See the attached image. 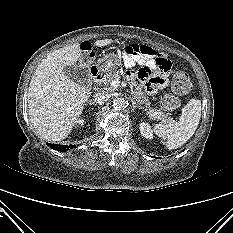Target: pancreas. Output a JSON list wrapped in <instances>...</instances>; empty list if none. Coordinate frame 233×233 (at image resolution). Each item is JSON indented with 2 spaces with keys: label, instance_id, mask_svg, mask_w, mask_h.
<instances>
[{
  "label": "pancreas",
  "instance_id": "1",
  "mask_svg": "<svg viewBox=\"0 0 233 233\" xmlns=\"http://www.w3.org/2000/svg\"><path fill=\"white\" fill-rule=\"evenodd\" d=\"M120 77V73L112 72L109 73L104 79L103 83L105 84H111L112 80L117 79ZM132 94L134 98L136 99L137 103L141 106H144L146 110H148L149 117L154 120H160L162 122H168L171 120L169 116H167L165 113L159 110H154L153 108H150V102L146 98L145 93L143 92L142 88L140 86H137L134 91H132ZM157 113V114H156Z\"/></svg>",
  "mask_w": 233,
  "mask_h": 233
}]
</instances>
